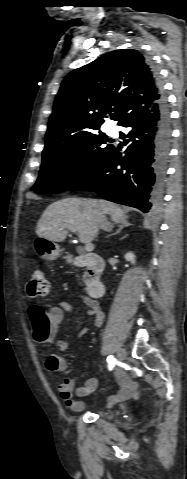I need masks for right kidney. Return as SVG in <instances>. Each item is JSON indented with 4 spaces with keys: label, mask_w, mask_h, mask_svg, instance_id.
<instances>
[{
    "label": "right kidney",
    "mask_w": 187,
    "mask_h": 479,
    "mask_svg": "<svg viewBox=\"0 0 187 479\" xmlns=\"http://www.w3.org/2000/svg\"><path fill=\"white\" fill-rule=\"evenodd\" d=\"M125 259L129 262H131L132 264L135 263V255L132 253V252H128L125 254Z\"/></svg>",
    "instance_id": "right-kidney-1"
}]
</instances>
